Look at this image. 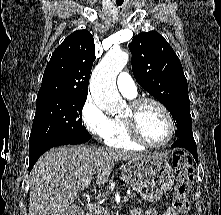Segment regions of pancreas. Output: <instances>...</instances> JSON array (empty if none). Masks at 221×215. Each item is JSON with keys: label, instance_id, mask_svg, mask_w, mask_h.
Returning <instances> with one entry per match:
<instances>
[{"label": "pancreas", "instance_id": "pancreas-1", "mask_svg": "<svg viewBox=\"0 0 221 215\" xmlns=\"http://www.w3.org/2000/svg\"><path fill=\"white\" fill-rule=\"evenodd\" d=\"M129 198L133 199L136 203H140L141 202L140 199L137 198L135 193H131L129 195ZM87 215H108V211L104 210L102 212H96L94 210H89V213Z\"/></svg>", "mask_w": 221, "mask_h": 215}]
</instances>
